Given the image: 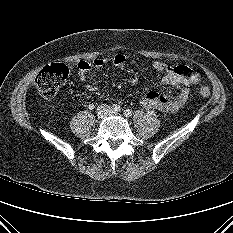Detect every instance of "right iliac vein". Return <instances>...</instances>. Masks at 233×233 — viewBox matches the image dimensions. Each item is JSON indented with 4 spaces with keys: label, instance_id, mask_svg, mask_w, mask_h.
Segmentation results:
<instances>
[{
    "label": "right iliac vein",
    "instance_id": "obj_1",
    "mask_svg": "<svg viewBox=\"0 0 233 233\" xmlns=\"http://www.w3.org/2000/svg\"><path fill=\"white\" fill-rule=\"evenodd\" d=\"M108 114V110L103 108V109H100L99 112H98V116L99 117H105L106 115Z\"/></svg>",
    "mask_w": 233,
    "mask_h": 233
}]
</instances>
